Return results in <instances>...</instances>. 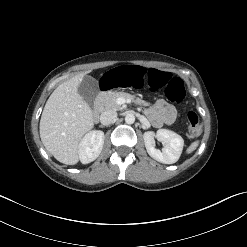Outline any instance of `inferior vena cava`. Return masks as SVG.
I'll return each instance as SVG.
<instances>
[{"mask_svg": "<svg viewBox=\"0 0 247 247\" xmlns=\"http://www.w3.org/2000/svg\"><path fill=\"white\" fill-rule=\"evenodd\" d=\"M117 119V113L113 110H107L100 116V122L103 125H110Z\"/></svg>", "mask_w": 247, "mask_h": 247, "instance_id": "602c4592", "label": "inferior vena cava"}]
</instances>
